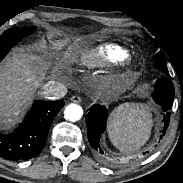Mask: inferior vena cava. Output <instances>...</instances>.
Instances as JSON below:
<instances>
[{"mask_svg": "<svg viewBox=\"0 0 183 183\" xmlns=\"http://www.w3.org/2000/svg\"><path fill=\"white\" fill-rule=\"evenodd\" d=\"M66 93L67 88L64 84L50 81L43 86L40 94L45 99L56 100L64 97Z\"/></svg>", "mask_w": 183, "mask_h": 183, "instance_id": "obj_1", "label": "inferior vena cava"}]
</instances>
